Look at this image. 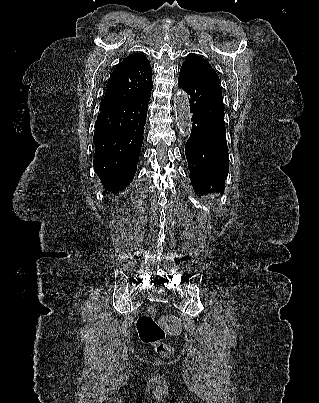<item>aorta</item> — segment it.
<instances>
[{
	"label": "aorta",
	"mask_w": 319,
	"mask_h": 403,
	"mask_svg": "<svg viewBox=\"0 0 319 403\" xmlns=\"http://www.w3.org/2000/svg\"><path fill=\"white\" fill-rule=\"evenodd\" d=\"M174 113L177 127L184 137H189L192 128L190 106L188 96L185 91L177 90L174 97Z\"/></svg>",
	"instance_id": "aorta-1"
}]
</instances>
